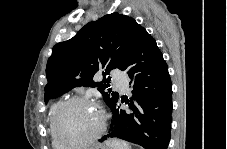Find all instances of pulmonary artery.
<instances>
[{
	"label": "pulmonary artery",
	"instance_id": "e3ab8cb5",
	"mask_svg": "<svg viewBox=\"0 0 227 149\" xmlns=\"http://www.w3.org/2000/svg\"><path fill=\"white\" fill-rule=\"evenodd\" d=\"M114 84L123 91H128V81L125 75L116 73L114 75Z\"/></svg>",
	"mask_w": 227,
	"mask_h": 149
}]
</instances>
